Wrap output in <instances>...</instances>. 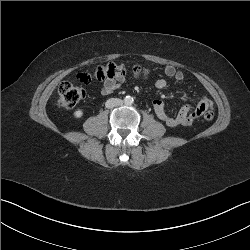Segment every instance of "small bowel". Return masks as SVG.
Listing matches in <instances>:
<instances>
[{
    "mask_svg": "<svg viewBox=\"0 0 250 250\" xmlns=\"http://www.w3.org/2000/svg\"><path fill=\"white\" fill-rule=\"evenodd\" d=\"M164 74L166 77L173 78L177 82H182L184 79V74L172 65H167L164 68ZM123 81L124 77L104 80L101 88L102 94H111L120 87ZM167 85L168 81L164 78H160L155 82L157 89H164ZM198 97L199 101L196 106L184 105L175 116L166 113L162 100L155 99L153 101L154 113L160 121L169 127L190 126L198 117L202 116L205 111H212L213 109L212 101L205 94L199 92Z\"/></svg>",
    "mask_w": 250,
    "mask_h": 250,
    "instance_id": "c3829d8e",
    "label": "small bowel"
}]
</instances>
